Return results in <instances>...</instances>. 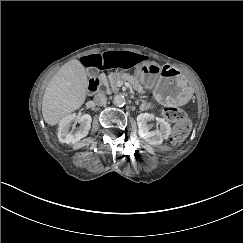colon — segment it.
I'll use <instances>...</instances> for the list:
<instances>
[{"mask_svg": "<svg viewBox=\"0 0 243 243\" xmlns=\"http://www.w3.org/2000/svg\"><path fill=\"white\" fill-rule=\"evenodd\" d=\"M166 119L175 124L171 140L174 143L181 142L188 134L190 126L183 110L175 107H167L164 110Z\"/></svg>", "mask_w": 243, "mask_h": 243, "instance_id": "5ec220e1", "label": "colon"}]
</instances>
